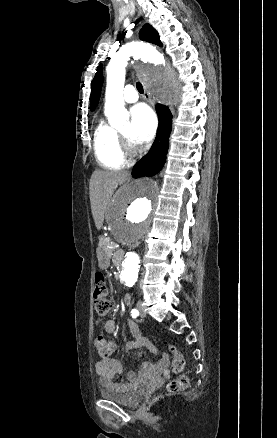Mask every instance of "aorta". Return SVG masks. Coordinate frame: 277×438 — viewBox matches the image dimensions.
<instances>
[{"label": "aorta", "mask_w": 277, "mask_h": 438, "mask_svg": "<svg viewBox=\"0 0 277 438\" xmlns=\"http://www.w3.org/2000/svg\"><path fill=\"white\" fill-rule=\"evenodd\" d=\"M130 57L141 60L138 67L142 83L153 95L167 105L179 102L182 88L179 78L152 46L129 43L110 60L106 72L105 115L112 127L126 124L129 113L124 107L123 88L126 66ZM159 188L156 181L141 178L124 188L112 203L109 227L114 238L127 249L122 263L121 280L132 286L137 280L140 257L134 247L147 235L156 215Z\"/></svg>", "instance_id": "1"}]
</instances>
